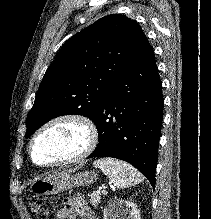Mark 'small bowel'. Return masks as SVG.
Wrapping results in <instances>:
<instances>
[{
	"label": "small bowel",
	"mask_w": 211,
	"mask_h": 219,
	"mask_svg": "<svg viewBox=\"0 0 211 219\" xmlns=\"http://www.w3.org/2000/svg\"><path fill=\"white\" fill-rule=\"evenodd\" d=\"M54 219H98L81 195L65 200Z\"/></svg>",
	"instance_id": "obj_1"
}]
</instances>
